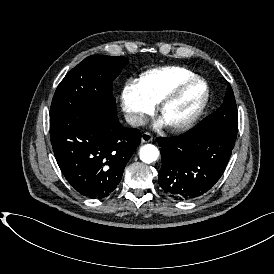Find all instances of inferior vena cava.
<instances>
[{
    "label": "inferior vena cava",
    "mask_w": 274,
    "mask_h": 274,
    "mask_svg": "<svg viewBox=\"0 0 274 274\" xmlns=\"http://www.w3.org/2000/svg\"><path fill=\"white\" fill-rule=\"evenodd\" d=\"M124 117L126 122L133 127L143 126L146 122L144 115L141 113H126Z\"/></svg>",
    "instance_id": "602c4592"
}]
</instances>
